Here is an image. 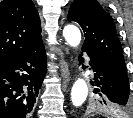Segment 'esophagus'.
<instances>
[{
	"label": "esophagus",
	"instance_id": "1",
	"mask_svg": "<svg viewBox=\"0 0 133 118\" xmlns=\"http://www.w3.org/2000/svg\"><path fill=\"white\" fill-rule=\"evenodd\" d=\"M59 63H60L61 75H62L63 79L66 82H69L70 81V72H69L67 62L65 61L64 58L61 57Z\"/></svg>",
	"mask_w": 133,
	"mask_h": 118
}]
</instances>
